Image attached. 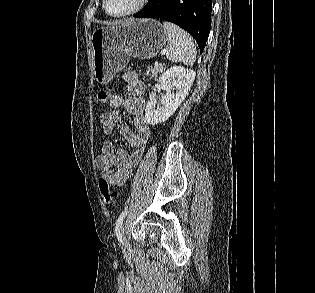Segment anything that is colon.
I'll list each match as a JSON object with an SVG mask.
<instances>
[{
    "mask_svg": "<svg viewBox=\"0 0 315 293\" xmlns=\"http://www.w3.org/2000/svg\"><path fill=\"white\" fill-rule=\"evenodd\" d=\"M110 95L111 94L108 91L101 90L97 94V100L99 103L104 104L109 100ZM99 190L103 201L107 204H110L115 197V193L111 189L110 183L107 180L101 178L99 180Z\"/></svg>",
    "mask_w": 315,
    "mask_h": 293,
    "instance_id": "1",
    "label": "colon"
}]
</instances>
